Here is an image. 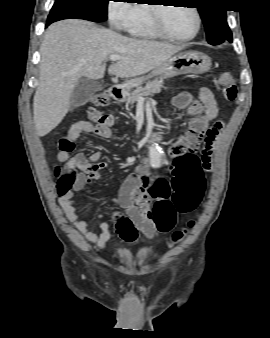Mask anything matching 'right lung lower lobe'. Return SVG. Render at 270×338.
Returning a JSON list of instances; mask_svg holds the SVG:
<instances>
[{
    "instance_id": "right-lung-lower-lobe-1",
    "label": "right lung lower lobe",
    "mask_w": 270,
    "mask_h": 338,
    "mask_svg": "<svg viewBox=\"0 0 270 338\" xmlns=\"http://www.w3.org/2000/svg\"><path fill=\"white\" fill-rule=\"evenodd\" d=\"M49 24H51V23H48V22H47L46 26H48Z\"/></svg>"
}]
</instances>
